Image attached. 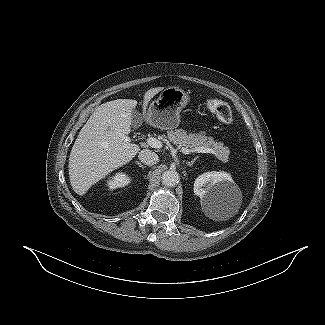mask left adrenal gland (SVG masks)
Here are the masks:
<instances>
[{"instance_id":"left-adrenal-gland-1","label":"left adrenal gland","mask_w":325,"mask_h":325,"mask_svg":"<svg viewBox=\"0 0 325 325\" xmlns=\"http://www.w3.org/2000/svg\"><path fill=\"white\" fill-rule=\"evenodd\" d=\"M199 157L197 156V157H195L191 162H187L186 164L188 165V166H193V164H194V162L198 159Z\"/></svg>"}]
</instances>
